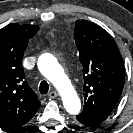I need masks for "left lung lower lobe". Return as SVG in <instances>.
Masks as SVG:
<instances>
[{
  "mask_svg": "<svg viewBox=\"0 0 133 133\" xmlns=\"http://www.w3.org/2000/svg\"><path fill=\"white\" fill-rule=\"evenodd\" d=\"M76 118L81 124L88 127H97L105 120L103 117H95L84 112H81Z\"/></svg>",
  "mask_w": 133,
  "mask_h": 133,
  "instance_id": "1",
  "label": "left lung lower lobe"
}]
</instances>
